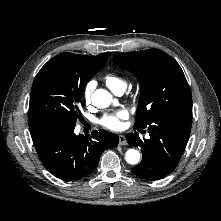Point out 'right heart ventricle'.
Instances as JSON below:
<instances>
[{"label":"right heart ventricle","mask_w":221,"mask_h":221,"mask_svg":"<svg viewBox=\"0 0 221 221\" xmlns=\"http://www.w3.org/2000/svg\"><path fill=\"white\" fill-rule=\"evenodd\" d=\"M106 85L113 91L116 92L119 89L126 88V82L123 78L115 74H107L104 77Z\"/></svg>","instance_id":"e07e8e85"}]
</instances>
